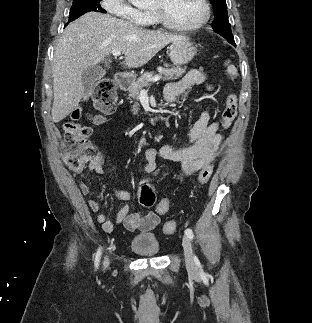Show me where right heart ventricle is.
<instances>
[{
  "label": "right heart ventricle",
  "instance_id": "e07e8e85",
  "mask_svg": "<svg viewBox=\"0 0 312 323\" xmlns=\"http://www.w3.org/2000/svg\"><path fill=\"white\" fill-rule=\"evenodd\" d=\"M142 20H145V25H154V20H158V13H142Z\"/></svg>",
  "mask_w": 312,
  "mask_h": 323
}]
</instances>
